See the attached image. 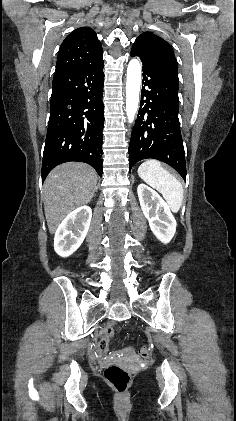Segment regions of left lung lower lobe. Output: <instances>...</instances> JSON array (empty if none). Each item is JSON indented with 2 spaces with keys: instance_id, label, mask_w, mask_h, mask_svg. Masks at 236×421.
<instances>
[{
  "instance_id": "0a47b994",
  "label": "left lung lower lobe",
  "mask_w": 236,
  "mask_h": 421,
  "mask_svg": "<svg viewBox=\"0 0 236 421\" xmlns=\"http://www.w3.org/2000/svg\"><path fill=\"white\" fill-rule=\"evenodd\" d=\"M130 55L140 57L143 64L140 108L128 150L130 169L142 159L154 158L172 166L186 180L178 118L177 67L166 58L142 53L134 47Z\"/></svg>"
}]
</instances>
